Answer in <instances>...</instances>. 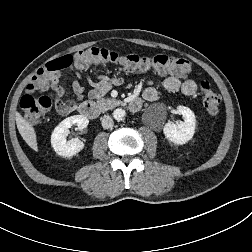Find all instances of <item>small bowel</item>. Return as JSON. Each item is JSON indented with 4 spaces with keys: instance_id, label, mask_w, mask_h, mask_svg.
I'll return each mask as SVG.
<instances>
[{
    "instance_id": "obj_1",
    "label": "small bowel",
    "mask_w": 252,
    "mask_h": 252,
    "mask_svg": "<svg viewBox=\"0 0 252 252\" xmlns=\"http://www.w3.org/2000/svg\"><path fill=\"white\" fill-rule=\"evenodd\" d=\"M85 79L89 81L93 88L87 92V96L91 99H98L105 95L113 86L122 84L120 77L97 76V81H93L88 72H76V77L70 78L71 87L77 99H81L86 94V87L80 82ZM162 86L169 92H181L185 96H192L197 91V84L193 79L181 80L175 75H169L162 81ZM53 90L58 92L56 98V109L60 114H68L75 110L77 103L74 100H64L61 98L63 92L58 84V80L53 86ZM143 98L147 101H155L158 98V92L155 88L149 87L144 90Z\"/></svg>"
}]
</instances>
